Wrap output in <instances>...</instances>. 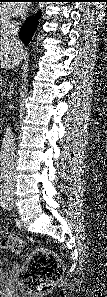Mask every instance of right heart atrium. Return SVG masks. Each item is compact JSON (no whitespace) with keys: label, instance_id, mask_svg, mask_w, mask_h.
<instances>
[{"label":"right heart atrium","instance_id":"right-heart-atrium-1","mask_svg":"<svg viewBox=\"0 0 107 297\" xmlns=\"http://www.w3.org/2000/svg\"><path fill=\"white\" fill-rule=\"evenodd\" d=\"M7 18H8L7 13H6L4 10H1V11H0V20H1V21H6Z\"/></svg>","mask_w":107,"mask_h":297}]
</instances>
